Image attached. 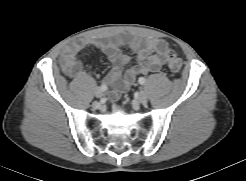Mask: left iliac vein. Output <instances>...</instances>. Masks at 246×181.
I'll return each instance as SVG.
<instances>
[{"label":"left iliac vein","mask_w":246,"mask_h":181,"mask_svg":"<svg viewBox=\"0 0 246 181\" xmlns=\"http://www.w3.org/2000/svg\"><path fill=\"white\" fill-rule=\"evenodd\" d=\"M137 100H138L139 103L145 104L147 102V100H148L147 94L144 91H141L139 93V96H138Z\"/></svg>","instance_id":"4c4485c4"}]
</instances>
